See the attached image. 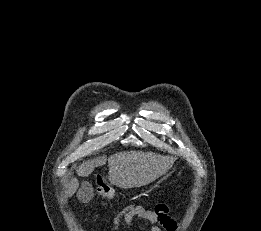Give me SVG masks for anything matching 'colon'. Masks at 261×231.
<instances>
[{
  "label": "colon",
  "mask_w": 261,
  "mask_h": 231,
  "mask_svg": "<svg viewBox=\"0 0 261 231\" xmlns=\"http://www.w3.org/2000/svg\"><path fill=\"white\" fill-rule=\"evenodd\" d=\"M98 194L105 199H109L111 197V188L107 184H100L98 189Z\"/></svg>",
  "instance_id": "5ec220e1"
}]
</instances>
